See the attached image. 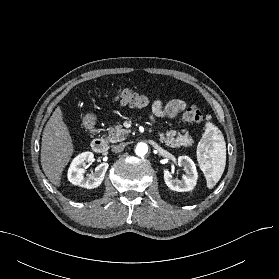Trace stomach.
Segmentation results:
<instances>
[{
  "instance_id": "stomach-1",
  "label": "stomach",
  "mask_w": 279,
  "mask_h": 279,
  "mask_svg": "<svg viewBox=\"0 0 279 279\" xmlns=\"http://www.w3.org/2000/svg\"><path fill=\"white\" fill-rule=\"evenodd\" d=\"M94 120H95V118L92 115L87 116V118H86V121L88 122V124H92L94 122Z\"/></svg>"
}]
</instances>
